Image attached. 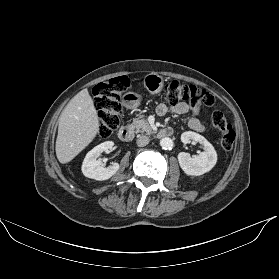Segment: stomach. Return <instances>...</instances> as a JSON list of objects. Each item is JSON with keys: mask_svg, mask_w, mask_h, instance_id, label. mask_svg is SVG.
Instances as JSON below:
<instances>
[{"mask_svg": "<svg viewBox=\"0 0 279 279\" xmlns=\"http://www.w3.org/2000/svg\"><path fill=\"white\" fill-rule=\"evenodd\" d=\"M143 84L150 94H158L164 86V78L156 72L144 77ZM142 96L135 92H128L123 96V104L129 109H135L141 104Z\"/></svg>", "mask_w": 279, "mask_h": 279, "instance_id": "1", "label": "stomach"}]
</instances>
